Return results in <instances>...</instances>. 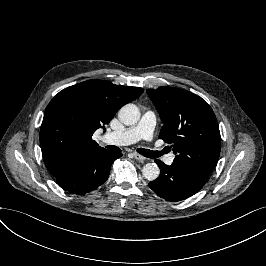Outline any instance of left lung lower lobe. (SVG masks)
<instances>
[{
    "instance_id": "left-lung-lower-lobe-1",
    "label": "left lung lower lobe",
    "mask_w": 266,
    "mask_h": 266,
    "mask_svg": "<svg viewBox=\"0 0 266 266\" xmlns=\"http://www.w3.org/2000/svg\"><path fill=\"white\" fill-rule=\"evenodd\" d=\"M160 176L149 183V187L167 201H181L197 193L208 181L205 171L188 164L173 162L167 166L155 160Z\"/></svg>"
}]
</instances>
